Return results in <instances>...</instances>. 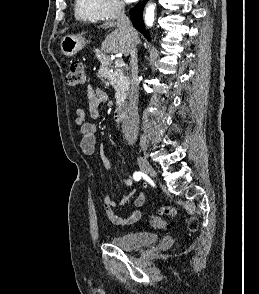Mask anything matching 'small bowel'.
Returning a JSON list of instances; mask_svg holds the SVG:
<instances>
[{
  "instance_id": "small-bowel-1",
  "label": "small bowel",
  "mask_w": 259,
  "mask_h": 294,
  "mask_svg": "<svg viewBox=\"0 0 259 294\" xmlns=\"http://www.w3.org/2000/svg\"><path fill=\"white\" fill-rule=\"evenodd\" d=\"M107 100V94L100 88H87V108L91 118L96 119L100 115L101 105ZM85 110L78 108L75 111V123L79 128L81 134L80 147L82 152L87 156H92L95 153L96 146V131L97 127L85 120ZM107 168H111V164L107 163ZM125 186H131L133 180L130 176L123 180ZM131 194L122 197L120 200H114L109 195L103 197V209L109 221L116 226H126L136 223L141 218V208L145 202V195L138 194L133 201V210L130 214L125 216L117 215L114 208L118 205L125 204L130 198Z\"/></svg>"
}]
</instances>
